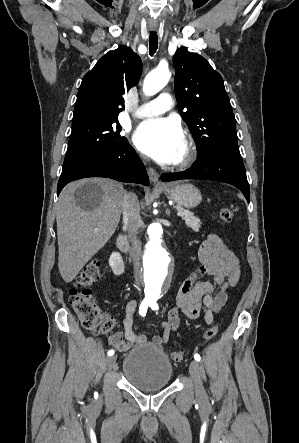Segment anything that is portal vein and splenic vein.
I'll return each instance as SVG.
<instances>
[{"label":"portal vein and splenic vein","instance_id":"obj_1","mask_svg":"<svg viewBox=\"0 0 299 443\" xmlns=\"http://www.w3.org/2000/svg\"><path fill=\"white\" fill-rule=\"evenodd\" d=\"M177 216H179V217H183V216H184V213L181 212V211H178V212H177Z\"/></svg>","mask_w":299,"mask_h":443}]
</instances>
